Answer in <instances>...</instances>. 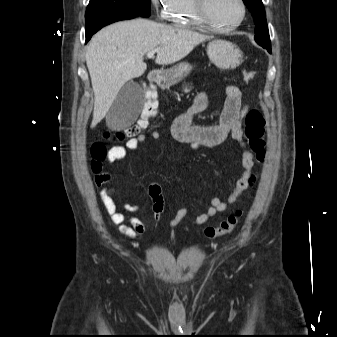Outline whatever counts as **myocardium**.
<instances>
[{"mask_svg": "<svg viewBox=\"0 0 337 337\" xmlns=\"http://www.w3.org/2000/svg\"><path fill=\"white\" fill-rule=\"evenodd\" d=\"M194 2V8H195V13L199 19V21L210 28L213 31L216 32H230L236 28H238L245 20L246 15H247V6L244 0H238L240 6H241V16L239 20L231 25H219L216 22H214L207 10V0H193Z\"/></svg>", "mask_w": 337, "mask_h": 337, "instance_id": "1", "label": "myocardium"}]
</instances>
